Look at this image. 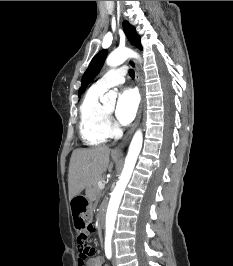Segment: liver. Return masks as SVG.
Segmentation results:
<instances>
[{
    "instance_id": "1",
    "label": "liver",
    "mask_w": 233,
    "mask_h": 266,
    "mask_svg": "<svg viewBox=\"0 0 233 266\" xmlns=\"http://www.w3.org/2000/svg\"><path fill=\"white\" fill-rule=\"evenodd\" d=\"M110 151L106 146L73 151L68 172L69 200L96 182L108 168L113 167L109 161Z\"/></svg>"
}]
</instances>
